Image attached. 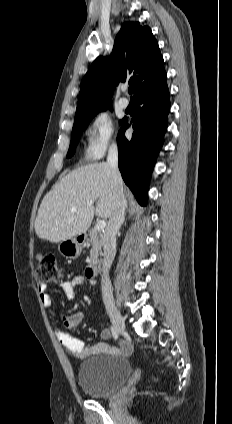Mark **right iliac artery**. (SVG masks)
Returning <instances> with one entry per match:
<instances>
[{"mask_svg":"<svg viewBox=\"0 0 232 424\" xmlns=\"http://www.w3.org/2000/svg\"><path fill=\"white\" fill-rule=\"evenodd\" d=\"M110 329L112 331V335H113L114 339H117L118 338V331H117V329L114 326H111Z\"/></svg>","mask_w":232,"mask_h":424,"instance_id":"82829eb1","label":"right iliac artery"}]
</instances>
